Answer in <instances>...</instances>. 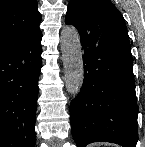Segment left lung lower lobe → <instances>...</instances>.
Listing matches in <instances>:
<instances>
[{
	"label": "left lung lower lobe",
	"instance_id": "1",
	"mask_svg": "<svg viewBox=\"0 0 145 147\" xmlns=\"http://www.w3.org/2000/svg\"><path fill=\"white\" fill-rule=\"evenodd\" d=\"M65 23L77 28L84 51L83 85L70 105L75 143L136 147L138 106L122 14L105 1H75L68 6Z\"/></svg>",
	"mask_w": 145,
	"mask_h": 147
}]
</instances>
